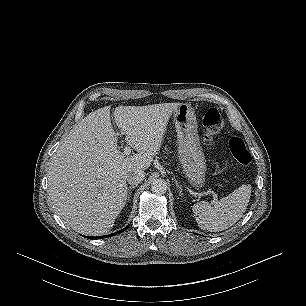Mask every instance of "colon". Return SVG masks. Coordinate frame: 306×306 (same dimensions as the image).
Instances as JSON below:
<instances>
[{"mask_svg": "<svg viewBox=\"0 0 306 306\" xmlns=\"http://www.w3.org/2000/svg\"><path fill=\"white\" fill-rule=\"evenodd\" d=\"M224 126V119L216 108L208 109L202 119V135L206 143H210L220 133ZM229 151L232 157L241 165L251 162V155L244 141L240 137L229 140Z\"/></svg>", "mask_w": 306, "mask_h": 306, "instance_id": "5ec220e1", "label": "colon"}]
</instances>
